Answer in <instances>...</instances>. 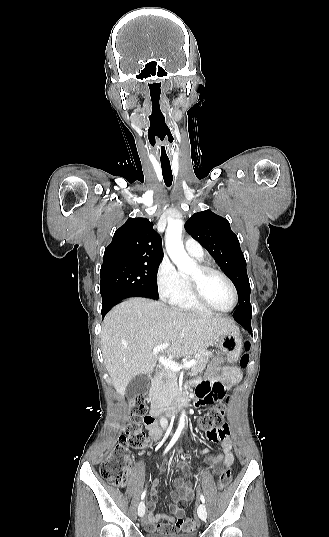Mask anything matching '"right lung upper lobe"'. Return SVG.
I'll return each instance as SVG.
<instances>
[{"instance_id": "obj_1", "label": "right lung upper lobe", "mask_w": 329, "mask_h": 537, "mask_svg": "<svg viewBox=\"0 0 329 537\" xmlns=\"http://www.w3.org/2000/svg\"><path fill=\"white\" fill-rule=\"evenodd\" d=\"M161 258L162 240L153 223L146 218H129L105 249L103 265L148 263Z\"/></svg>"}]
</instances>
